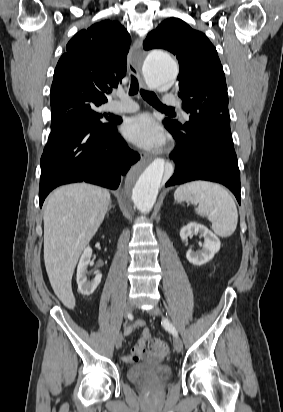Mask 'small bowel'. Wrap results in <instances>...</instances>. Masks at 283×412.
<instances>
[{
    "label": "small bowel",
    "mask_w": 283,
    "mask_h": 412,
    "mask_svg": "<svg viewBox=\"0 0 283 412\" xmlns=\"http://www.w3.org/2000/svg\"><path fill=\"white\" fill-rule=\"evenodd\" d=\"M138 328H142V337L133 347L131 353L123 357V361L128 364L139 362L147 357L146 343L150 338L151 333L149 329L145 327V321H136L133 325L125 329V334L129 335Z\"/></svg>",
    "instance_id": "1"
}]
</instances>
